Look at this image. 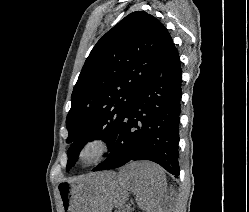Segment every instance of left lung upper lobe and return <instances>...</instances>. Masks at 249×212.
I'll return each mask as SVG.
<instances>
[{
    "mask_svg": "<svg viewBox=\"0 0 249 212\" xmlns=\"http://www.w3.org/2000/svg\"><path fill=\"white\" fill-rule=\"evenodd\" d=\"M172 44L164 25L144 11L130 13L97 42L71 96L67 170L87 142L101 138L113 146L133 97Z\"/></svg>",
    "mask_w": 249,
    "mask_h": 212,
    "instance_id": "left-lung-upper-lobe-1",
    "label": "left lung upper lobe"
}]
</instances>
